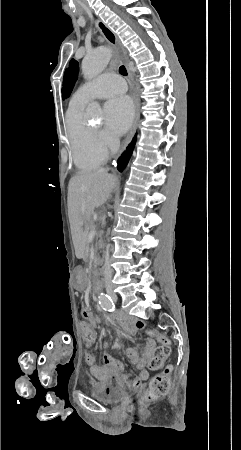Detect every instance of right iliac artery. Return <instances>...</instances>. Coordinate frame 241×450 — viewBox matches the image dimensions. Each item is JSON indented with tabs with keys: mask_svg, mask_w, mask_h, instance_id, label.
Instances as JSON below:
<instances>
[{
	"mask_svg": "<svg viewBox=\"0 0 241 450\" xmlns=\"http://www.w3.org/2000/svg\"><path fill=\"white\" fill-rule=\"evenodd\" d=\"M99 304L101 305V307L104 310H107V311H114V309H115L113 300L111 299L110 296H108L105 293H101L99 295Z\"/></svg>",
	"mask_w": 241,
	"mask_h": 450,
	"instance_id": "right-iliac-artery-1",
	"label": "right iliac artery"
}]
</instances>
